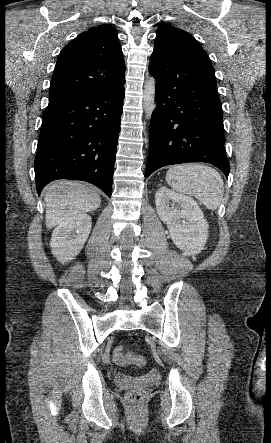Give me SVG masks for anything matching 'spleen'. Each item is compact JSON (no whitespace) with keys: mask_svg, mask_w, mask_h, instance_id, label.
<instances>
[{"mask_svg":"<svg viewBox=\"0 0 271 443\" xmlns=\"http://www.w3.org/2000/svg\"><path fill=\"white\" fill-rule=\"evenodd\" d=\"M166 182L175 192L194 196L208 210H217L222 202L223 180L217 170L204 164L172 166L166 172Z\"/></svg>","mask_w":271,"mask_h":443,"instance_id":"3e777b00","label":"spleen"}]
</instances>
